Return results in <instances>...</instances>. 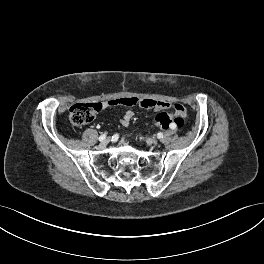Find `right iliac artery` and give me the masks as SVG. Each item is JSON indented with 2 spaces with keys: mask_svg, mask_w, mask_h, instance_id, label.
<instances>
[{
  "mask_svg": "<svg viewBox=\"0 0 264 264\" xmlns=\"http://www.w3.org/2000/svg\"><path fill=\"white\" fill-rule=\"evenodd\" d=\"M105 138H106V133L100 135V137H99V141H104Z\"/></svg>",
  "mask_w": 264,
  "mask_h": 264,
  "instance_id": "right-iliac-artery-1",
  "label": "right iliac artery"
}]
</instances>
